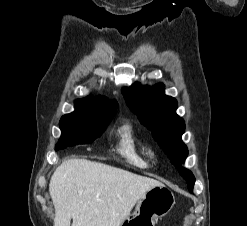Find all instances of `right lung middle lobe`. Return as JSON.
Wrapping results in <instances>:
<instances>
[{"label": "right lung middle lobe", "instance_id": "1", "mask_svg": "<svg viewBox=\"0 0 247 226\" xmlns=\"http://www.w3.org/2000/svg\"><path fill=\"white\" fill-rule=\"evenodd\" d=\"M111 118L112 116H98L93 102L78 100L75 103V111L62 116L60 120L62 134L56 144V150L93 142L106 129Z\"/></svg>", "mask_w": 247, "mask_h": 226}]
</instances>
